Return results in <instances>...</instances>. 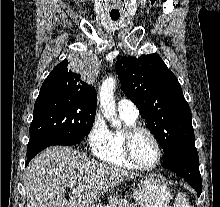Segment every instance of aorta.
<instances>
[{"mask_svg":"<svg viewBox=\"0 0 220 207\" xmlns=\"http://www.w3.org/2000/svg\"><path fill=\"white\" fill-rule=\"evenodd\" d=\"M115 87V78L107 77L103 80L99 90V100L103 116L111 123V126L118 128L121 126V122L116 118Z\"/></svg>","mask_w":220,"mask_h":207,"instance_id":"1","label":"aorta"}]
</instances>
